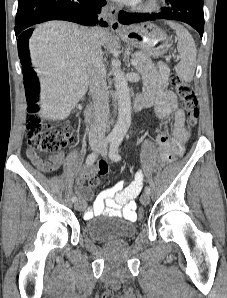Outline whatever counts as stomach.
I'll return each mask as SVG.
<instances>
[{"label": "stomach", "mask_w": 227, "mask_h": 298, "mask_svg": "<svg viewBox=\"0 0 227 298\" xmlns=\"http://www.w3.org/2000/svg\"><path fill=\"white\" fill-rule=\"evenodd\" d=\"M121 38L128 45L137 47L154 58L163 55L171 45L167 34L152 23L132 26L122 33Z\"/></svg>", "instance_id": "obj_1"}]
</instances>
